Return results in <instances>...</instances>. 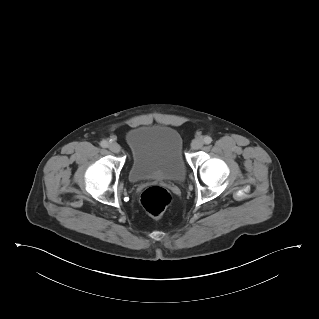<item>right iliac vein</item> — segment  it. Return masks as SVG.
Returning a JSON list of instances; mask_svg holds the SVG:
<instances>
[{
  "instance_id": "1",
  "label": "right iliac vein",
  "mask_w": 319,
  "mask_h": 319,
  "mask_svg": "<svg viewBox=\"0 0 319 319\" xmlns=\"http://www.w3.org/2000/svg\"><path fill=\"white\" fill-rule=\"evenodd\" d=\"M109 149L113 152V153H119L121 151V146L118 143H111L109 145Z\"/></svg>"
}]
</instances>
